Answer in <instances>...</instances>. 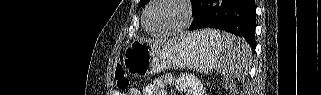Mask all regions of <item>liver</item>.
<instances>
[{
	"mask_svg": "<svg viewBox=\"0 0 321 95\" xmlns=\"http://www.w3.org/2000/svg\"><path fill=\"white\" fill-rule=\"evenodd\" d=\"M148 42H150V43H161V42L153 41V40H148ZM173 42H174V40H170V41H168L167 43H164V44L170 45V44H172Z\"/></svg>",
	"mask_w": 321,
	"mask_h": 95,
	"instance_id": "obj_1",
	"label": "liver"
}]
</instances>
